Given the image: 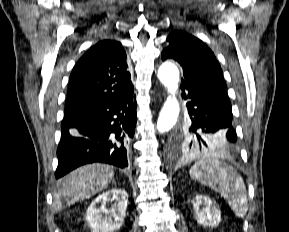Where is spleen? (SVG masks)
Listing matches in <instances>:
<instances>
[{"instance_id": "obj_1", "label": "spleen", "mask_w": 289, "mask_h": 232, "mask_svg": "<svg viewBox=\"0 0 289 232\" xmlns=\"http://www.w3.org/2000/svg\"><path fill=\"white\" fill-rule=\"evenodd\" d=\"M190 175L220 193L237 217L246 215V187L241 175L232 166L215 158L201 159L192 167Z\"/></svg>"}]
</instances>
